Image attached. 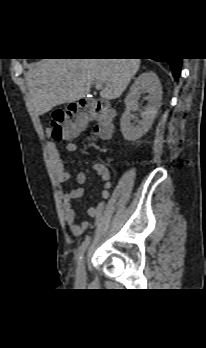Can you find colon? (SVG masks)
<instances>
[{"label": "colon", "instance_id": "colon-1", "mask_svg": "<svg viewBox=\"0 0 206 348\" xmlns=\"http://www.w3.org/2000/svg\"><path fill=\"white\" fill-rule=\"evenodd\" d=\"M114 111L104 102L81 99L63 109L55 110L50 121L51 137L62 141L76 136L87 124L93 122L95 134L102 139L113 131Z\"/></svg>", "mask_w": 206, "mask_h": 348}]
</instances>
